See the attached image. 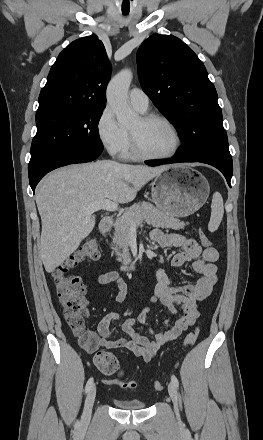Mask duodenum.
Instances as JSON below:
<instances>
[{
  "label": "duodenum",
  "instance_id": "1",
  "mask_svg": "<svg viewBox=\"0 0 263 440\" xmlns=\"http://www.w3.org/2000/svg\"><path fill=\"white\" fill-rule=\"evenodd\" d=\"M111 225H112V219L109 217H104L99 222V230L103 233H107L110 230ZM138 264H139V261L134 260L128 266V269L133 270L138 266Z\"/></svg>",
  "mask_w": 263,
  "mask_h": 440
}]
</instances>
